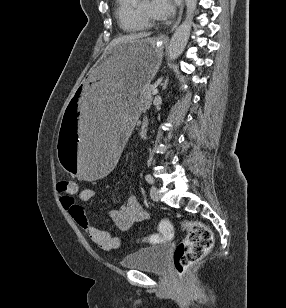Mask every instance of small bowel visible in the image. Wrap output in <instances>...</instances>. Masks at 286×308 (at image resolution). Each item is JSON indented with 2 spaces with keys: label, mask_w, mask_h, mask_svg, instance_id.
Here are the masks:
<instances>
[{
  "label": "small bowel",
  "mask_w": 286,
  "mask_h": 308,
  "mask_svg": "<svg viewBox=\"0 0 286 308\" xmlns=\"http://www.w3.org/2000/svg\"><path fill=\"white\" fill-rule=\"evenodd\" d=\"M94 195L95 191L93 189L84 188L78 192V200L81 202H88ZM61 203L96 246L103 250H109L120 246V240L114 236L112 232L99 230L90 223L84 209L77 204L74 198L63 197ZM109 216L116 228L126 231L129 230L134 223L145 219L147 213L142 208L138 199L135 196H130L123 206L119 209L112 210Z\"/></svg>",
  "instance_id": "obj_1"
}]
</instances>
